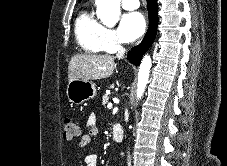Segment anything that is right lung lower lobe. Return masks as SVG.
<instances>
[{
	"instance_id": "obj_1",
	"label": "right lung lower lobe",
	"mask_w": 227,
	"mask_h": 166,
	"mask_svg": "<svg viewBox=\"0 0 227 166\" xmlns=\"http://www.w3.org/2000/svg\"><path fill=\"white\" fill-rule=\"evenodd\" d=\"M147 4H148V15H149V30L145 38L141 42V44L132 48V50L128 53L129 60L136 66L140 64V60L143 54L153 43L156 35L157 25H158L156 0H147Z\"/></svg>"
}]
</instances>
